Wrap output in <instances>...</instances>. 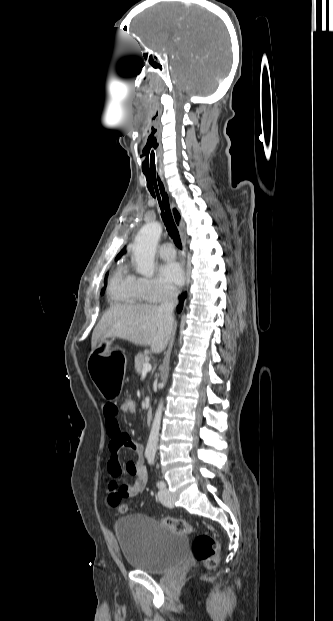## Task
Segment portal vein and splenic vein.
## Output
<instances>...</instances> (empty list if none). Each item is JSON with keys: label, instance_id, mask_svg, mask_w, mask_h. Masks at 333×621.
Instances as JSON below:
<instances>
[{"label": "portal vein and splenic vein", "instance_id": "obj_1", "mask_svg": "<svg viewBox=\"0 0 333 621\" xmlns=\"http://www.w3.org/2000/svg\"><path fill=\"white\" fill-rule=\"evenodd\" d=\"M152 369V366L150 363L146 362L145 364H143V370L142 373H146L149 372Z\"/></svg>", "mask_w": 333, "mask_h": 621}]
</instances>
